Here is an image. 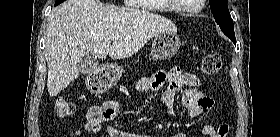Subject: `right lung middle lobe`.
Wrapping results in <instances>:
<instances>
[{"label":"right lung middle lobe","mask_w":280,"mask_h":137,"mask_svg":"<svg viewBox=\"0 0 280 137\" xmlns=\"http://www.w3.org/2000/svg\"><path fill=\"white\" fill-rule=\"evenodd\" d=\"M63 1H64V0H56L55 6L58 5V4H60V3H62Z\"/></svg>","instance_id":"obj_1"}]
</instances>
